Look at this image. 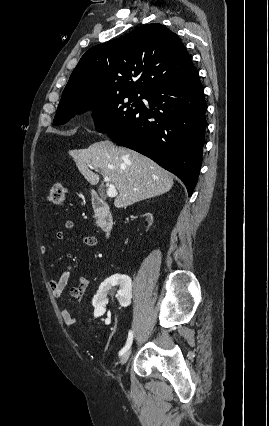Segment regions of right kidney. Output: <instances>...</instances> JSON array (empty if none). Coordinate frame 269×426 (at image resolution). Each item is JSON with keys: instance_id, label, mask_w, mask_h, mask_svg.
I'll use <instances>...</instances> for the list:
<instances>
[{"instance_id": "ca27d5eb", "label": "right kidney", "mask_w": 269, "mask_h": 426, "mask_svg": "<svg viewBox=\"0 0 269 426\" xmlns=\"http://www.w3.org/2000/svg\"><path fill=\"white\" fill-rule=\"evenodd\" d=\"M146 222L141 225L144 231H147L152 225L153 216L151 213L144 214ZM129 276L127 273H120L119 276H112L101 284L96 296L94 297L93 304L95 307L94 316L98 317L105 312V306L108 303L106 298L107 295L113 293L112 286L116 290H120L118 300V309L120 311L128 310L130 303L133 301V293L131 288V282L128 281Z\"/></svg>"}]
</instances>
